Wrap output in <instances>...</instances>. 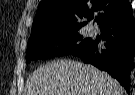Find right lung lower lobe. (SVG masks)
<instances>
[{
  "label": "right lung lower lobe",
  "mask_w": 135,
  "mask_h": 95,
  "mask_svg": "<svg viewBox=\"0 0 135 95\" xmlns=\"http://www.w3.org/2000/svg\"><path fill=\"white\" fill-rule=\"evenodd\" d=\"M100 28L104 46L99 47V41L90 39L72 55L80 57L84 63L108 72L128 91L135 55V20L132 13L119 20L106 21Z\"/></svg>",
  "instance_id": "1"
}]
</instances>
